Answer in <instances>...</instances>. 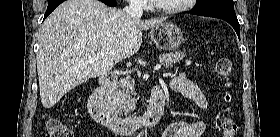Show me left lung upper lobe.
I'll list each match as a JSON object with an SVG mask.
<instances>
[{
    "label": "left lung upper lobe",
    "instance_id": "obj_1",
    "mask_svg": "<svg viewBox=\"0 0 280 137\" xmlns=\"http://www.w3.org/2000/svg\"><path fill=\"white\" fill-rule=\"evenodd\" d=\"M192 11L220 12L236 15L232 0H199Z\"/></svg>",
    "mask_w": 280,
    "mask_h": 137
}]
</instances>
